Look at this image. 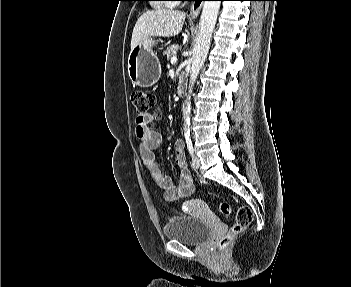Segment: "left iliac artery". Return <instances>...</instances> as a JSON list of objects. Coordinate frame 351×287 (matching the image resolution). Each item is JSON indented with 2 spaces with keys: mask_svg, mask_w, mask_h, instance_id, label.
<instances>
[{
  "mask_svg": "<svg viewBox=\"0 0 351 287\" xmlns=\"http://www.w3.org/2000/svg\"><path fill=\"white\" fill-rule=\"evenodd\" d=\"M185 139H186L188 151L191 155H193L194 149H193V144L190 137V132L185 133Z\"/></svg>",
  "mask_w": 351,
  "mask_h": 287,
  "instance_id": "1",
  "label": "left iliac artery"
}]
</instances>
